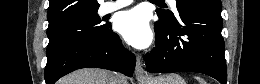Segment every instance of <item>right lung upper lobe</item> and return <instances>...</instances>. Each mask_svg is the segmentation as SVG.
Listing matches in <instances>:
<instances>
[{
  "label": "right lung upper lobe",
  "instance_id": "cb5924a9",
  "mask_svg": "<svg viewBox=\"0 0 260 84\" xmlns=\"http://www.w3.org/2000/svg\"><path fill=\"white\" fill-rule=\"evenodd\" d=\"M98 8L97 0H50L47 13L48 28L82 15L94 13Z\"/></svg>",
  "mask_w": 260,
  "mask_h": 84
}]
</instances>
